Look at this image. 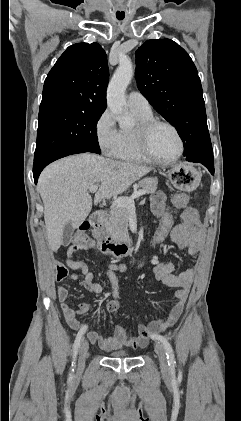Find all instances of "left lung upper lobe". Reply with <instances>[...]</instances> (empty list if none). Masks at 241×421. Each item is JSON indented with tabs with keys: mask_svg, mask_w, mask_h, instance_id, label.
Masks as SVG:
<instances>
[{
	"mask_svg": "<svg viewBox=\"0 0 241 421\" xmlns=\"http://www.w3.org/2000/svg\"><path fill=\"white\" fill-rule=\"evenodd\" d=\"M138 89L179 132L189 161L213 159L197 69L188 53L169 39L148 40L136 51Z\"/></svg>",
	"mask_w": 241,
	"mask_h": 421,
	"instance_id": "left-lung-upper-lobe-1",
	"label": "left lung upper lobe"
}]
</instances>
